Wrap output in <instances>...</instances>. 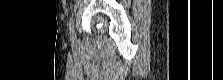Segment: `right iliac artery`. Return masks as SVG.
<instances>
[{"mask_svg": "<svg viewBox=\"0 0 223 80\" xmlns=\"http://www.w3.org/2000/svg\"><path fill=\"white\" fill-rule=\"evenodd\" d=\"M69 30H70L71 40H72V42H75V33H74L73 19L70 20Z\"/></svg>", "mask_w": 223, "mask_h": 80, "instance_id": "82829eb1", "label": "right iliac artery"}]
</instances>
